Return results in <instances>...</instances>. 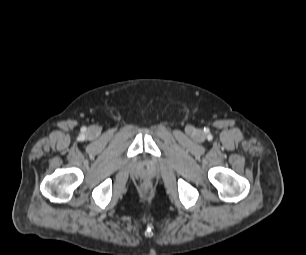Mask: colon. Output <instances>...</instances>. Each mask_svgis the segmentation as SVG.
<instances>
[{"mask_svg":"<svg viewBox=\"0 0 306 255\" xmlns=\"http://www.w3.org/2000/svg\"><path fill=\"white\" fill-rule=\"evenodd\" d=\"M143 187H144L145 190H148L149 189V184L148 183H144Z\"/></svg>","mask_w":306,"mask_h":255,"instance_id":"5ec220e1","label":"colon"}]
</instances>
